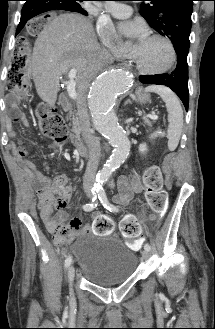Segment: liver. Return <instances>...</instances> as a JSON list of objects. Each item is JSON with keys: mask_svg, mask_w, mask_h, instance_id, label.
<instances>
[{"mask_svg": "<svg viewBox=\"0 0 215 329\" xmlns=\"http://www.w3.org/2000/svg\"><path fill=\"white\" fill-rule=\"evenodd\" d=\"M104 62L92 23L82 15L66 13L55 17L37 37L28 69L39 97L53 106L62 75L77 69L79 95Z\"/></svg>", "mask_w": 215, "mask_h": 329, "instance_id": "obj_1", "label": "liver"}]
</instances>
